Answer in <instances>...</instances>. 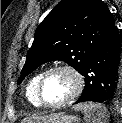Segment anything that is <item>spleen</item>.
Segmentation results:
<instances>
[{"label": "spleen", "instance_id": "spleen-1", "mask_svg": "<svg viewBox=\"0 0 122 123\" xmlns=\"http://www.w3.org/2000/svg\"><path fill=\"white\" fill-rule=\"evenodd\" d=\"M75 110L84 112L86 123H108V111L101 104L93 102L78 104Z\"/></svg>", "mask_w": 122, "mask_h": 123}]
</instances>
